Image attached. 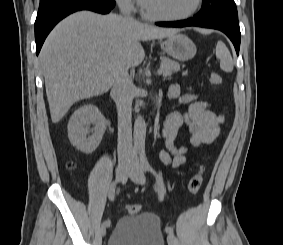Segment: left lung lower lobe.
<instances>
[{
    "label": "left lung lower lobe",
    "instance_id": "left-lung-lower-lobe-1",
    "mask_svg": "<svg viewBox=\"0 0 283 245\" xmlns=\"http://www.w3.org/2000/svg\"><path fill=\"white\" fill-rule=\"evenodd\" d=\"M158 26L164 27H185V26H198L204 28H213L224 32L233 42L236 53H239L241 33L240 28L233 27L221 22L199 20L195 17L175 22H159Z\"/></svg>",
    "mask_w": 283,
    "mask_h": 245
}]
</instances>
